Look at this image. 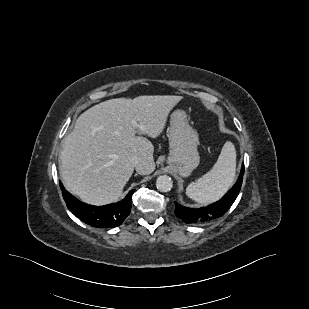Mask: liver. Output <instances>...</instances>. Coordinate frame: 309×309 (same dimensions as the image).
<instances>
[{
    "instance_id": "obj_1",
    "label": "liver",
    "mask_w": 309,
    "mask_h": 309,
    "mask_svg": "<svg viewBox=\"0 0 309 309\" xmlns=\"http://www.w3.org/2000/svg\"><path fill=\"white\" fill-rule=\"evenodd\" d=\"M182 96H139L101 102L82 113L65 137L60 154V175L66 189L82 201L105 205L117 201L134 171L155 170L154 146L143 136L158 137L170 111Z\"/></svg>"
}]
</instances>
